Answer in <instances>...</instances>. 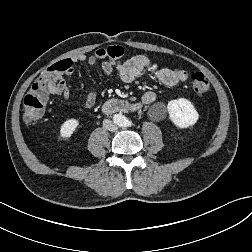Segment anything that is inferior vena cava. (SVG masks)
Wrapping results in <instances>:
<instances>
[{"instance_id":"1","label":"inferior vena cava","mask_w":252,"mask_h":252,"mask_svg":"<svg viewBox=\"0 0 252 252\" xmlns=\"http://www.w3.org/2000/svg\"><path fill=\"white\" fill-rule=\"evenodd\" d=\"M103 127L106 129V130H109V131H116L117 130V125L112 122L111 120H108V119H105L103 121Z\"/></svg>"}]
</instances>
